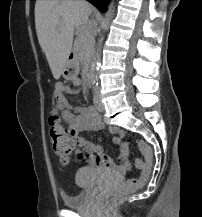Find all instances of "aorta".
<instances>
[{"label":"aorta","mask_w":202,"mask_h":217,"mask_svg":"<svg viewBox=\"0 0 202 217\" xmlns=\"http://www.w3.org/2000/svg\"><path fill=\"white\" fill-rule=\"evenodd\" d=\"M112 16H113V5L112 3H110L105 13V21L108 22L112 18ZM101 43H102V38L98 42L97 49L93 55L92 63H91L90 76L94 82L97 78L96 72L99 68L100 59H101V53H100Z\"/></svg>","instance_id":"1"}]
</instances>
